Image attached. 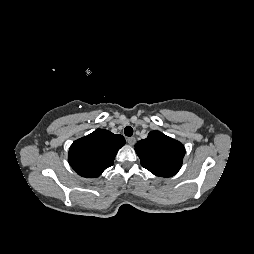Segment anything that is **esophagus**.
I'll use <instances>...</instances> for the list:
<instances>
[{"mask_svg": "<svg viewBox=\"0 0 254 254\" xmlns=\"http://www.w3.org/2000/svg\"><path fill=\"white\" fill-rule=\"evenodd\" d=\"M127 142L128 144L133 145L136 142V139L135 137H128Z\"/></svg>", "mask_w": 254, "mask_h": 254, "instance_id": "34e87169", "label": "esophagus"}]
</instances>
